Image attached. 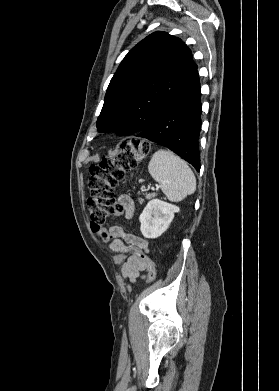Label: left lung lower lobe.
I'll use <instances>...</instances> for the list:
<instances>
[{
  "label": "left lung lower lobe",
  "instance_id": "obj_1",
  "mask_svg": "<svg viewBox=\"0 0 279 391\" xmlns=\"http://www.w3.org/2000/svg\"><path fill=\"white\" fill-rule=\"evenodd\" d=\"M201 91L198 71L188 84L137 134L164 145L200 169L198 138L201 129Z\"/></svg>",
  "mask_w": 279,
  "mask_h": 391
}]
</instances>
